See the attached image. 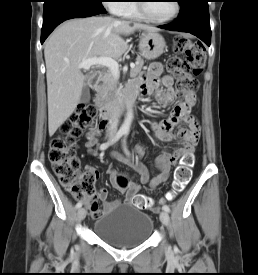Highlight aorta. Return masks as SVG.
Returning <instances> with one entry per match:
<instances>
[{"mask_svg":"<svg viewBox=\"0 0 258 275\" xmlns=\"http://www.w3.org/2000/svg\"><path fill=\"white\" fill-rule=\"evenodd\" d=\"M133 120V104L131 102L127 103V114L125 120L121 126V131L124 133H128L130 130V126Z\"/></svg>","mask_w":258,"mask_h":275,"instance_id":"aorta-1","label":"aorta"}]
</instances>
